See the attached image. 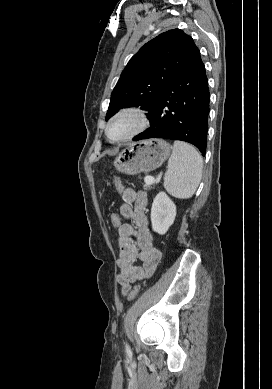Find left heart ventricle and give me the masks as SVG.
Instances as JSON below:
<instances>
[{"label":"left heart ventricle","mask_w":272,"mask_h":389,"mask_svg":"<svg viewBox=\"0 0 272 389\" xmlns=\"http://www.w3.org/2000/svg\"><path fill=\"white\" fill-rule=\"evenodd\" d=\"M135 119L129 116L117 119L110 129V136L113 139L121 138L127 135L134 127Z\"/></svg>","instance_id":"obj_1"}]
</instances>
